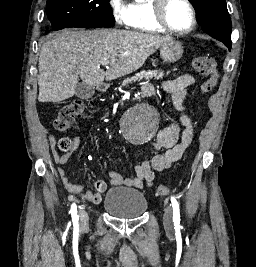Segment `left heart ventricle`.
<instances>
[{
    "label": "left heart ventricle",
    "mask_w": 256,
    "mask_h": 267,
    "mask_svg": "<svg viewBox=\"0 0 256 267\" xmlns=\"http://www.w3.org/2000/svg\"><path fill=\"white\" fill-rule=\"evenodd\" d=\"M165 18L169 25L178 31H185L189 29L192 23L190 9L178 0H171L167 3Z\"/></svg>",
    "instance_id": "obj_1"
}]
</instances>
